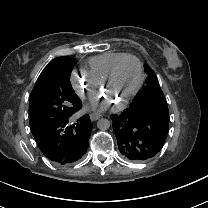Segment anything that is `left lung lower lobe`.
Segmentation results:
<instances>
[{
	"label": "left lung lower lobe",
	"mask_w": 208,
	"mask_h": 208,
	"mask_svg": "<svg viewBox=\"0 0 208 208\" xmlns=\"http://www.w3.org/2000/svg\"><path fill=\"white\" fill-rule=\"evenodd\" d=\"M111 119L119 151L129 161H147L162 149L169 121L126 109Z\"/></svg>",
	"instance_id": "left-lung-lower-lobe-1"
}]
</instances>
